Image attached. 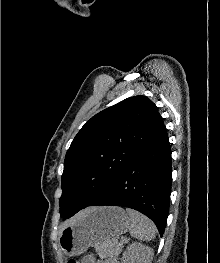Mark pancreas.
Listing matches in <instances>:
<instances>
[{
    "mask_svg": "<svg viewBox=\"0 0 220 263\" xmlns=\"http://www.w3.org/2000/svg\"><path fill=\"white\" fill-rule=\"evenodd\" d=\"M119 250V245L116 242L111 241L98 248V252L102 258H112L119 253Z\"/></svg>",
    "mask_w": 220,
    "mask_h": 263,
    "instance_id": "1",
    "label": "pancreas"
}]
</instances>
